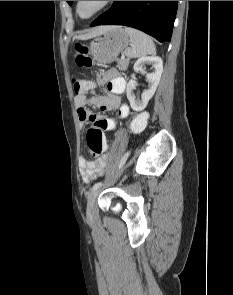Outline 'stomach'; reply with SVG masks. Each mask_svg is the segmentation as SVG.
<instances>
[{"mask_svg": "<svg viewBox=\"0 0 233 295\" xmlns=\"http://www.w3.org/2000/svg\"><path fill=\"white\" fill-rule=\"evenodd\" d=\"M129 35L119 26H110L90 44V53L99 64H109L116 60L117 56L127 48Z\"/></svg>", "mask_w": 233, "mask_h": 295, "instance_id": "1", "label": "stomach"}]
</instances>
